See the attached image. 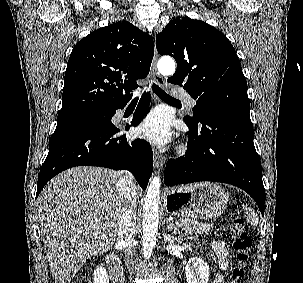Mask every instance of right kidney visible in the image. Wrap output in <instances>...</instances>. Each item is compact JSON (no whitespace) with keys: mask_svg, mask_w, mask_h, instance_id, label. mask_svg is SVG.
<instances>
[{"mask_svg":"<svg viewBox=\"0 0 303 283\" xmlns=\"http://www.w3.org/2000/svg\"><path fill=\"white\" fill-rule=\"evenodd\" d=\"M94 283H109L108 274L105 268L103 267H97L94 270Z\"/></svg>","mask_w":303,"mask_h":283,"instance_id":"obj_1","label":"right kidney"}]
</instances>
